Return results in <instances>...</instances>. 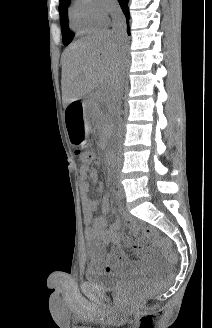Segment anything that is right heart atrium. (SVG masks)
<instances>
[{
    "label": "right heart atrium",
    "instance_id": "right-heart-atrium-1",
    "mask_svg": "<svg viewBox=\"0 0 212 328\" xmlns=\"http://www.w3.org/2000/svg\"><path fill=\"white\" fill-rule=\"evenodd\" d=\"M92 16L107 23L109 16L116 10V0H87Z\"/></svg>",
    "mask_w": 212,
    "mask_h": 328
}]
</instances>
